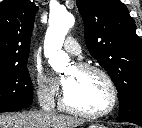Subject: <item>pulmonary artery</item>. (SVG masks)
Segmentation results:
<instances>
[{"label": "pulmonary artery", "instance_id": "obj_1", "mask_svg": "<svg viewBox=\"0 0 142 128\" xmlns=\"http://www.w3.org/2000/svg\"><path fill=\"white\" fill-rule=\"evenodd\" d=\"M64 49L74 55L79 56L81 54L80 45L73 37L66 38L64 42Z\"/></svg>", "mask_w": 142, "mask_h": 128}]
</instances>
